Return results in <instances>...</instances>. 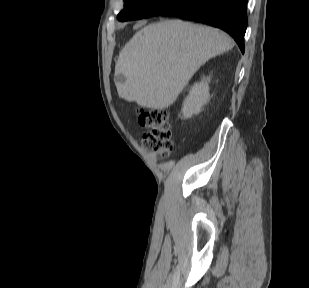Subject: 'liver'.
<instances>
[{"label":"liver","instance_id":"liver-1","mask_svg":"<svg viewBox=\"0 0 309 288\" xmlns=\"http://www.w3.org/2000/svg\"><path fill=\"white\" fill-rule=\"evenodd\" d=\"M233 46L226 33L213 27L181 20L147 25L119 54L115 66L118 94L143 107L165 109L203 64Z\"/></svg>","mask_w":309,"mask_h":288}]
</instances>
